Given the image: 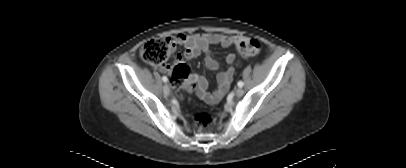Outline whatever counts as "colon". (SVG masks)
<instances>
[{
    "instance_id": "obj_1",
    "label": "colon",
    "mask_w": 406,
    "mask_h": 168,
    "mask_svg": "<svg viewBox=\"0 0 406 168\" xmlns=\"http://www.w3.org/2000/svg\"><path fill=\"white\" fill-rule=\"evenodd\" d=\"M262 45L259 40L252 38L249 41H243L239 45V53L243 58H249L258 55L261 52ZM172 51V41L170 38H155L146 42L140 49L141 58L147 63L161 65L168 58ZM189 68L185 64H178L173 70V79L176 86L179 85V79L186 78L189 74ZM193 85L190 87V89ZM181 96V94H180ZM213 124V118L207 113H199L195 117V125L199 131L207 132Z\"/></svg>"
}]
</instances>
